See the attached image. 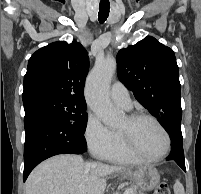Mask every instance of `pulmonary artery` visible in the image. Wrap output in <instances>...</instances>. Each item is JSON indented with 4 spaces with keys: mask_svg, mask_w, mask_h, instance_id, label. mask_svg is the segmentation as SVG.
<instances>
[{
    "mask_svg": "<svg viewBox=\"0 0 201 194\" xmlns=\"http://www.w3.org/2000/svg\"><path fill=\"white\" fill-rule=\"evenodd\" d=\"M110 97L114 104L129 110L132 107L131 98L127 88L119 81L112 84L110 89Z\"/></svg>",
    "mask_w": 201,
    "mask_h": 194,
    "instance_id": "pulmonary-artery-1",
    "label": "pulmonary artery"
}]
</instances>
